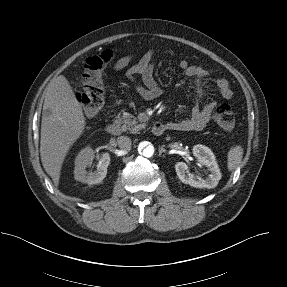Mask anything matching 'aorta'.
<instances>
[{"label":"aorta","mask_w":287,"mask_h":287,"mask_svg":"<svg viewBox=\"0 0 287 287\" xmlns=\"http://www.w3.org/2000/svg\"><path fill=\"white\" fill-rule=\"evenodd\" d=\"M139 154L143 155L146 158H150L154 155L155 148L153 144L149 141H142L138 145Z\"/></svg>","instance_id":"1"}]
</instances>
